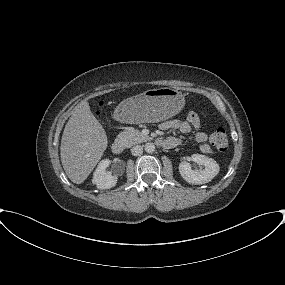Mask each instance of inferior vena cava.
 <instances>
[{
    "label": "inferior vena cava",
    "mask_w": 285,
    "mask_h": 285,
    "mask_svg": "<svg viewBox=\"0 0 285 285\" xmlns=\"http://www.w3.org/2000/svg\"><path fill=\"white\" fill-rule=\"evenodd\" d=\"M131 153L134 156H138L143 153V147L140 145L134 146L131 148Z\"/></svg>",
    "instance_id": "1"
}]
</instances>
